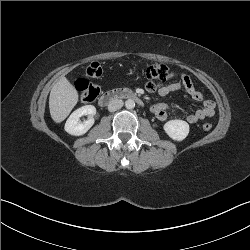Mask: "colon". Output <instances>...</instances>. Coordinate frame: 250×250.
<instances>
[{
    "label": "colon",
    "instance_id": "5ec220e1",
    "mask_svg": "<svg viewBox=\"0 0 250 250\" xmlns=\"http://www.w3.org/2000/svg\"><path fill=\"white\" fill-rule=\"evenodd\" d=\"M172 72L166 65L163 64H152L146 68L143 75L148 80H165L166 74ZM102 75V67L99 63L93 62L89 64L85 71V78H79L75 82V87L79 92L80 98L84 103H91L95 101L100 93V89L92 84L88 79H96ZM166 81V80H165ZM203 129L209 131L212 129V124L206 122L203 124Z\"/></svg>",
    "mask_w": 250,
    "mask_h": 250
}]
</instances>
